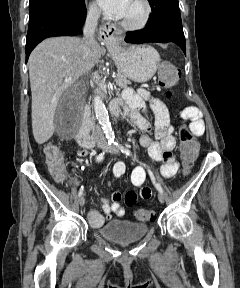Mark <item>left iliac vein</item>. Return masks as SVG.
<instances>
[{
    "label": "left iliac vein",
    "instance_id": "4c4485c4",
    "mask_svg": "<svg viewBox=\"0 0 240 288\" xmlns=\"http://www.w3.org/2000/svg\"><path fill=\"white\" fill-rule=\"evenodd\" d=\"M104 149L111 154H119L120 153L119 149L116 148L115 146H107L106 145L104 147ZM158 200L160 201V203H164V196L160 192L158 193Z\"/></svg>",
    "mask_w": 240,
    "mask_h": 288
}]
</instances>
